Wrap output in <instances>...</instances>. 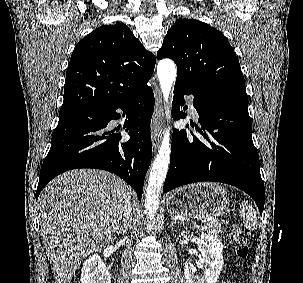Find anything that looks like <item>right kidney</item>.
<instances>
[{
	"mask_svg": "<svg viewBox=\"0 0 303 283\" xmlns=\"http://www.w3.org/2000/svg\"><path fill=\"white\" fill-rule=\"evenodd\" d=\"M82 283H111L110 274L99 255L90 256L81 269Z\"/></svg>",
	"mask_w": 303,
	"mask_h": 283,
	"instance_id": "1",
	"label": "right kidney"
}]
</instances>
